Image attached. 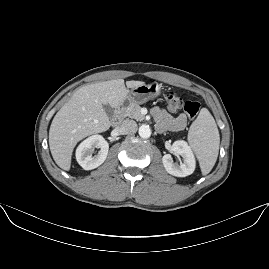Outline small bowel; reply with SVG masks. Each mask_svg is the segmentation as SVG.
<instances>
[{
  "label": "small bowel",
  "instance_id": "small-bowel-1",
  "mask_svg": "<svg viewBox=\"0 0 269 269\" xmlns=\"http://www.w3.org/2000/svg\"><path fill=\"white\" fill-rule=\"evenodd\" d=\"M152 115L157 121V130L163 132L165 130L182 131L187 124V117L185 114H178L175 117L170 116L164 109L154 107Z\"/></svg>",
  "mask_w": 269,
  "mask_h": 269
}]
</instances>
